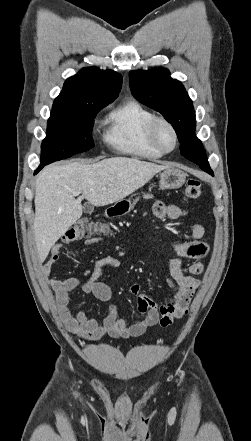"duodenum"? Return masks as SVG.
Instances as JSON below:
<instances>
[{
    "mask_svg": "<svg viewBox=\"0 0 251 441\" xmlns=\"http://www.w3.org/2000/svg\"><path fill=\"white\" fill-rule=\"evenodd\" d=\"M109 214H110V215H117L118 212L116 211V209L112 208V209L109 211Z\"/></svg>",
    "mask_w": 251,
    "mask_h": 441,
    "instance_id": "410a0bca",
    "label": "duodenum"
}]
</instances>
